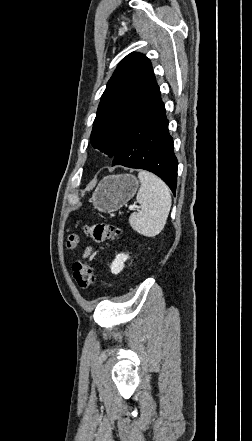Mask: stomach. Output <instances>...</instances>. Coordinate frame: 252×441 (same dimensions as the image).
Returning <instances> with one entry per match:
<instances>
[{"mask_svg":"<svg viewBox=\"0 0 252 441\" xmlns=\"http://www.w3.org/2000/svg\"><path fill=\"white\" fill-rule=\"evenodd\" d=\"M138 186L133 175H109L98 184L91 202L100 212H115L135 195Z\"/></svg>","mask_w":252,"mask_h":441,"instance_id":"1","label":"stomach"}]
</instances>
